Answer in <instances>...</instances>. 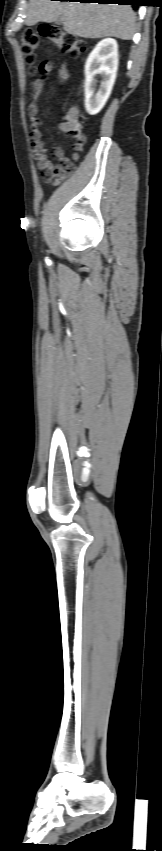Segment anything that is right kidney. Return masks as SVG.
<instances>
[{
  "instance_id": "right-kidney-1",
  "label": "right kidney",
  "mask_w": 162,
  "mask_h": 851,
  "mask_svg": "<svg viewBox=\"0 0 162 851\" xmlns=\"http://www.w3.org/2000/svg\"><path fill=\"white\" fill-rule=\"evenodd\" d=\"M118 68V45L115 39L101 40L90 53L85 64V109L96 115L108 100L116 79ZM102 75L97 89L96 75Z\"/></svg>"
}]
</instances>
